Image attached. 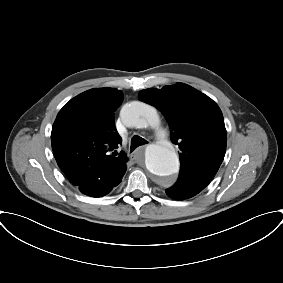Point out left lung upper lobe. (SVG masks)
<instances>
[{
	"label": "left lung upper lobe",
	"instance_id": "1",
	"mask_svg": "<svg viewBox=\"0 0 283 283\" xmlns=\"http://www.w3.org/2000/svg\"><path fill=\"white\" fill-rule=\"evenodd\" d=\"M139 98L166 117L171 140L180 148V176L208 185L226 152L227 132L218 105L183 83L142 90Z\"/></svg>",
	"mask_w": 283,
	"mask_h": 283
}]
</instances>
